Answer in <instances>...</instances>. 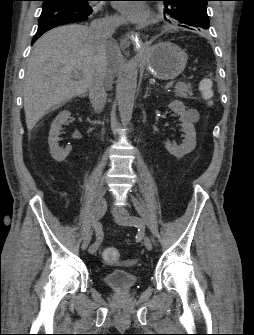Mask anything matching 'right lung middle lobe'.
<instances>
[{
    "instance_id": "dd1d6c3e",
    "label": "right lung middle lobe",
    "mask_w": 254,
    "mask_h": 335,
    "mask_svg": "<svg viewBox=\"0 0 254 335\" xmlns=\"http://www.w3.org/2000/svg\"><path fill=\"white\" fill-rule=\"evenodd\" d=\"M81 1L89 2V1H92V0H81Z\"/></svg>"
}]
</instances>
